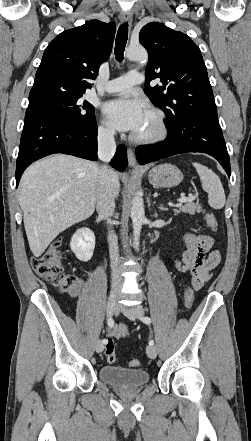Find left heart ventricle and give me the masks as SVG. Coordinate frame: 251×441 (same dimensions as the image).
<instances>
[{
  "label": "left heart ventricle",
  "mask_w": 251,
  "mask_h": 441,
  "mask_svg": "<svg viewBox=\"0 0 251 441\" xmlns=\"http://www.w3.org/2000/svg\"><path fill=\"white\" fill-rule=\"evenodd\" d=\"M156 131V123L154 117L147 111L144 121L140 129L134 133L137 136H148Z\"/></svg>",
  "instance_id": "1"
}]
</instances>
